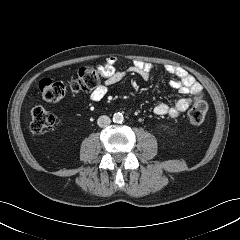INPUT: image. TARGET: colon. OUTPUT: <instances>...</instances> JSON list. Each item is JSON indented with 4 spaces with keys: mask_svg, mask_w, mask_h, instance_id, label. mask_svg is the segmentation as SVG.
Wrapping results in <instances>:
<instances>
[{
    "mask_svg": "<svg viewBox=\"0 0 240 240\" xmlns=\"http://www.w3.org/2000/svg\"><path fill=\"white\" fill-rule=\"evenodd\" d=\"M101 73L93 66L81 67L77 76L73 77L67 83L49 78L43 79L39 84V90L42 98L47 102H57L61 100L68 90L73 93H85L95 89L100 85ZM207 103L202 93L194 97L192 107L189 110L188 117L193 125H201L206 118ZM54 116L41 106L32 109L29 126L32 132L40 133L53 127Z\"/></svg>",
    "mask_w": 240,
    "mask_h": 240,
    "instance_id": "5ec220e1",
    "label": "colon"
}]
</instances>
